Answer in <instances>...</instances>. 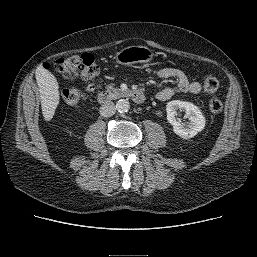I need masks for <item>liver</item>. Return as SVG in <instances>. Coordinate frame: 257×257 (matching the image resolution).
Listing matches in <instances>:
<instances>
[{
  "label": "liver",
  "instance_id": "1",
  "mask_svg": "<svg viewBox=\"0 0 257 257\" xmlns=\"http://www.w3.org/2000/svg\"><path fill=\"white\" fill-rule=\"evenodd\" d=\"M36 80L40 91L42 114L46 121H50L59 104V84L56 77L43 67L36 71Z\"/></svg>",
  "mask_w": 257,
  "mask_h": 257
}]
</instances>
